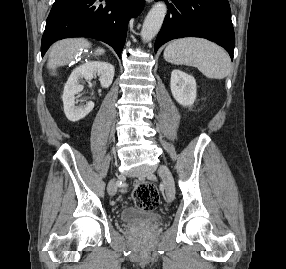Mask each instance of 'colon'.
<instances>
[{
  "label": "colon",
  "mask_w": 286,
  "mask_h": 269,
  "mask_svg": "<svg viewBox=\"0 0 286 269\" xmlns=\"http://www.w3.org/2000/svg\"><path fill=\"white\" fill-rule=\"evenodd\" d=\"M133 200L139 208L148 211L156 209L160 204L158 192L150 182H140L137 184Z\"/></svg>",
  "instance_id": "obj_1"
}]
</instances>
